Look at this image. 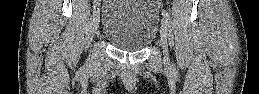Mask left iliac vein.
<instances>
[{
	"label": "left iliac vein",
	"mask_w": 259,
	"mask_h": 94,
	"mask_svg": "<svg viewBox=\"0 0 259 94\" xmlns=\"http://www.w3.org/2000/svg\"><path fill=\"white\" fill-rule=\"evenodd\" d=\"M168 24V20L163 17L161 20V46L163 49V59L165 64H168L170 61L168 51Z\"/></svg>",
	"instance_id": "1"
}]
</instances>
